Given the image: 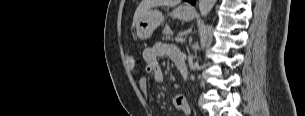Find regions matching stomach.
<instances>
[{
  "label": "stomach",
  "mask_w": 305,
  "mask_h": 116,
  "mask_svg": "<svg viewBox=\"0 0 305 116\" xmlns=\"http://www.w3.org/2000/svg\"><path fill=\"white\" fill-rule=\"evenodd\" d=\"M170 15L184 21H190L194 18L195 12L189 5H180L175 8ZM164 21L162 12L158 10H148L136 24L137 36L141 40L151 37L153 31Z\"/></svg>",
  "instance_id": "stomach-1"
}]
</instances>
